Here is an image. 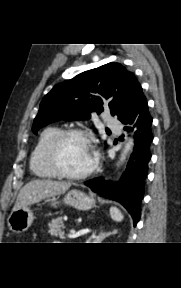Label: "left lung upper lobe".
Returning <instances> with one entry per match:
<instances>
[{"mask_svg":"<svg viewBox=\"0 0 181 288\" xmlns=\"http://www.w3.org/2000/svg\"><path fill=\"white\" fill-rule=\"evenodd\" d=\"M141 85L134 74L119 63H108L60 83L43 98L32 131L58 120L89 119L92 112L108 107L121 121Z\"/></svg>","mask_w":181,"mask_h":288,"instance_id":"5c2ea615","label":"left lung upper lobe"}]
</instances>
